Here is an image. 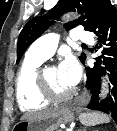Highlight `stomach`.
I'll return each instance as SVG.
<instances>
[{
  "label": "stomach",
  "mask_w": 117,
  "mask_h": 131,
  "mask_svg": "<svg viewBox=\"0 0 117 131\" xmlns=\"http://www.w3.org/2000/svg\"><path fill=\"white\" fill-rule=\"evenodd\" d=\"M74 113L72 106L65 105L55 112L37 119L21 120L14 125L15 131H60V126L72 122Z\"/></svg>",
  "instance_id": "1"
}]
</instances>
